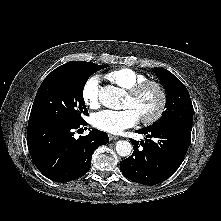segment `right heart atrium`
I'll list each match as a JSON object with an SVG mask.
<instances>
[{"mask_svg": "<svg viewBox=\"0 0 221 221\" xmlns=\"http://www.w3.org/2000/svg\"><path fill=\"white\" fill-rule=\"evenodd\" d=\"M100 80L98 76H92L86 80L82 87L83 102L90 108L96 109L101 102Z\"/></svg>", "mask_w": 221, "mask_h": 221, "instance_id": "right-heart-atrium-1", "label": "right heart atrium"}]
</instances>
